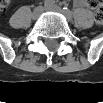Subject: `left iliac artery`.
Segmentation results:
<instances>
[{
	"label": "left iliac artery",
	"mask_w": 103,
	"mask_h": 103,
	"mask_svg": "<svg viewBox=\"0 0 103 103\" xmlns=\"http://www.w3.org/2000/svg\"><path fill=\"white\" fill-rule=\"evenodd\" d=\"M63 11L67 17L72 18V12L67 7H63Z\"/></svg>",
	"instance_id": "left-iliac-artery-1"
}]
</instances>
